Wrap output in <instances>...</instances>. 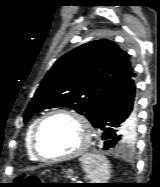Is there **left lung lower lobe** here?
<instances>
[{
  "mask_svg": "<svg viewBox=\"0 0 160 187\" xmlns=\"http://www.w3.org/2000/svg\"><path fill=\"white\" fill-rule=\"evenodd\" d=\"M135 73L102 103L94 127L99 130L102 149L127 148L125 140L136 126V85Z\"/></svg>",
  "mask_w": 160,
  "mask_h": 187,
  "instance_id": "obj_1",
  "label": "left lung lower lobe"
}]
</instances>
